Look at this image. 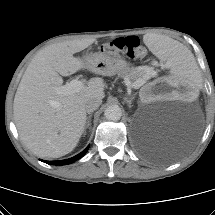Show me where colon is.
Masks as SVG:
<instances>
[{
	"mask_svg": "<svg viewBox=\"0 0 215 215\" xmlns=\"http://www.w3.org/2000/svg\"><path fill=\"white\" fill-rule=\"evenodd\" d=\"M101 48L109 53H125L133 59H141L146 55V49L137 36L116 38L104 43Z\"/></svg>",
	"mask_w": 215,
	"mask_h": 215,
	"instance_id": "obj_1",
	"label": "colon"
}]
</instances>
